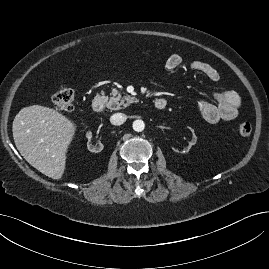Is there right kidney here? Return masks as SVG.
I'll use <instances>...</instances> for the list:
<instances>
[{
  "label": "right kidney",
  "instance_id": "right-kidney-1",
  "mask_svg": "<svg viewBox=\"0 0 269 269\" xmlns=\"http://www.w3.org/2000/svg\"><path fill=\"white\" fill-rule=\"evenodd\" d=\"M92 131L89 129V130H87L85 133H86V135H85V137L89 140L88 141V149L91 151V152H95V153H98V152H100V151H102V149H103V142L101 141L100 143H99V145L97 146H95L94 144H93V142L96 140L94 137L92 138V139H90L91 137H90V133H91Z\"/></svg>",
  "mask_w": 269,
  "mask_h": 269
}]
</instances>
